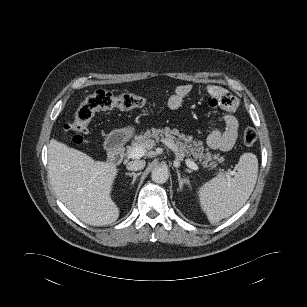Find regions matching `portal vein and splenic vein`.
I'll list each match as a JSON object with an SVG mask.
<instances>
[{
	"label": "portal vein and splenic vein",
	"instance_id": "portal-vein-and-splenic-vein-1",
	"mask_svg": "<svg viewBox=\"0 0 307 307\" xmlns=\"http://www.w3.org/2000/svg\"><path fill=\"white\" fill-rule=\"evenodd\" d=\"M144 153H145L144 148L141 147V146H138V147L133 148V149L130 151V153H129V158H132V159H139V158L143 157ZM176 163H178V165H179L178 160L176 161ZM185 163H186L187 167H189V168L192 169V170H198V169H199L198 165H197L195 162H193L192 160H190V159H186V160H185ZM228 174H229V175H232L233 172H230V173H228Z\"/></svg>",
	"mask_w": 307,
	"mask_h": 307
}]
</instances>
